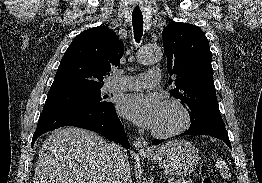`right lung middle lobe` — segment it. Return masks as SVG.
I'll use <instances>...</instances> for the list:
<instances>
[{
	"label": "right lung middle lobe",
	"instance_id": "obj_1",
	"mask_svg": "<svg viewBox=\"0 0 262 183\" xmlns=\"http://www.w3.org/2000/svg\"><path fill=\"white\" fill-rule=\"evenodd\" d=\"M100 88L101 87L92 89H68L48 92L44 106L67 105L102 109L113 105V103L105 101V97H101Z\"/></svg>",
	"mask_w": 262,
	"mask_h": 183
}]
</instances>
